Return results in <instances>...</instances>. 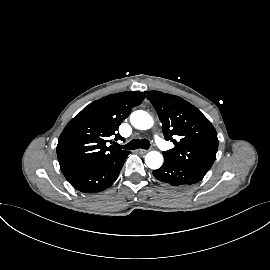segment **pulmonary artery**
Segmentation results:
<instances>
[{
    "instance_id": "e3ab8cb5",
    "label": "pulmonary artery",
    "mask_w": 270,
    "mask_h": 270,
    "mask_svg": "<svg viewBox=\"0 0 270 270\" xmlns=\"http://www.w3.org/2000/svg\"><path fill=\"white\" fill-rule=\"evenodd\" d=\"M155 141L157 143V145L161 148L166 150L168 148L166 142L164 140H162L160 137L156 136L155 137Z\"/></svg>"
}]
</instances>
